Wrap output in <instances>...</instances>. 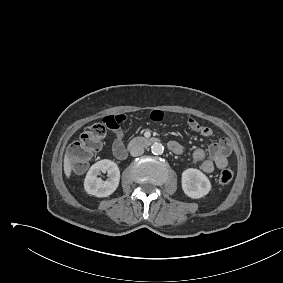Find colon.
Here are the masks:
<instances>
[{
    "label": "colon",
    "mask_w": 283,
    "mask_h": 283,
    "mask_svg": "<svg viewBox=\"0 0 283 283\" xmlns=\"http://www.w3.org/2000/svg\"><path fill=\"white\" fill-rule=\"evenodd\" d=\"M107 125L105 122L96 123L84 130L79 139L75 141L69 153L71 167L76 172L85 170L92 156L97 153L106 136ZM233 171L224 169L220 172L218 180L221 184H228L233 179Z\"/></svg>",
    "instance_id": "5ec220e1"
}]
</instances>
